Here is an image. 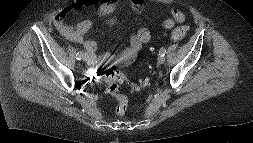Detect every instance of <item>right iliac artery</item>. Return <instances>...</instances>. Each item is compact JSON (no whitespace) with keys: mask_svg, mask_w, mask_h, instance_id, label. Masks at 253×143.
Masks as SVG:
<instances>
[{"mask_svg":"<svg viewBox=\"0 0 253 143\" xmlns=\"http://www.w3.org/2000/svg\"><path fill=\"white\" fill-rule=\"evenodd\" d=\"M83 58V53L82 52H77L76 53V59L81 60Z\"/></svg>","mask_w":253,"mask_h":143,"instance_id":"obj_1","label":"right iliac artery"}]
</instances>
